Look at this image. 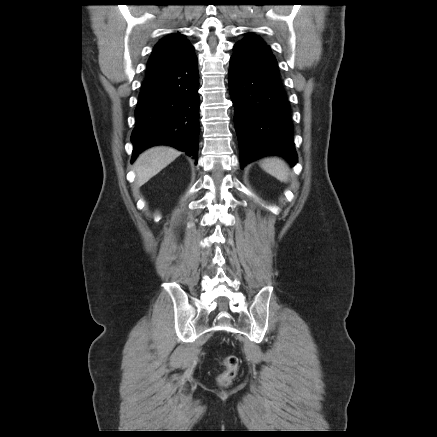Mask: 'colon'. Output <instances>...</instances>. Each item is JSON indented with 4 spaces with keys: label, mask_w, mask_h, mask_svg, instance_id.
<instances>
[{
    "label": "colon",
    "mask_w": 437,
    "mask_h": 437,
    "mask_svg": "<svg viewBox=\"0 0 437 437\" xmlns=\"http://www.w3.org/2000/svg\"><path fill=\"white\" fill-rule=\"evenodd\" d=\"M224 369L219 375V383L228 385L236 376L239 368V359L233 354L226 355L223 359Z\"/></svg>",
    "instance_id": "1"
}]
</instances>
